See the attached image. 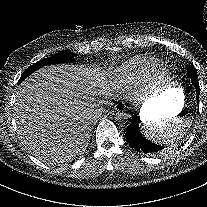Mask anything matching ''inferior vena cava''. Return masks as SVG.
Returning <instances> with one entry per match:
<instances>
[{
  "label": "inferior vena cava",
  "instance_id": "1",
  "mask_svg": "<svg viewBox=\"0 0 207 207\" xmlns=\"http://www.w3.org/2000/svg\"><path fill=\"white\" fill-rule=\"evenodd\" d=\"M96 115V116H95ZM101 117V115H97V111L94 113V115H93V119H97V118H100Z\"/></svg>",
  "mask_w": 207,
  "mask_h": 207
}]
</instances>
